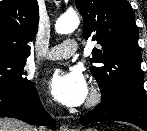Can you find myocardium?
Listing matches in <instances>:
<instances>
[{
  "label": "myocardium",
  "instance_id": "f54148a6",
  "mask_svg": "<svg viewBox=\"0 0 147 131\" xmlns=\"http://www.w3.org/2000/svg\"><path fill=\"white\" fill-rule=\"evenodd\" d=\"M102 100V92L97 86H93L86 103L87 109H92L99 105Z\"/></svg>",
  "mask_w": 147,
  "mask_h": 131
}]
</instances>
